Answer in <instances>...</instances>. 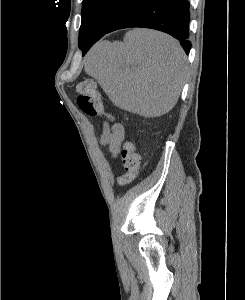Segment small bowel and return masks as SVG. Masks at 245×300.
I'll use <instances>...</instances> for the list:
<instances>
[{
  "mask_svg": "<svg viewBox=\"0 0 245 300\" xmlns=\"http://www.w3.org/2000/svg\"><path fill=\"white\" fill-rule=\"evenodd\" d=\"M124 137L125 128L122 123L115 122L110 124L106 121L102 123L100 143L108 148L113 159L119 155Z\"/></svg>",
  "mask_w": 245,
  "mask_h": 300,
  "instance_id": "1",
  "label": "small bowel"
}]
</instances>
